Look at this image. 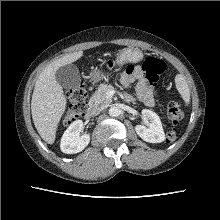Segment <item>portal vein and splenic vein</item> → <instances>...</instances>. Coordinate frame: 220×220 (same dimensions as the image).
Wrapping results in <instances>:
<instances>
[{
  "instance_id": "1",
  "label": "portal vein and splenic vein",
  "mask_w": 220,
  "mask_h": 220,
  "mask_svg": "<svg viewBox=\"0 0 220 220\" xmlns=\"http://www.w3.org/2000/svg\"><path fill=\"white\" fill-rule=\"evenodd\" d=\"M108 93H114V91H109Z\"/></svg>"
}]
</instances>
